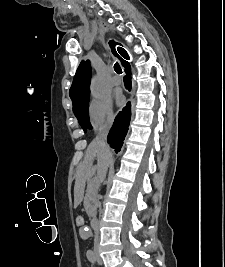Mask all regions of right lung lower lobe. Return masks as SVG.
I'll return each instance as SVG.
<instances>
[{
    "instance_id": "obj_1",
    "label": "right lung lower lobe",
    "mask_w": 225,
    "mask_h": 267,
    "mask_svg": "<svg viewBox=\"0 0 225 267\" xmlns=\"http://www.w3.org/2000/svg\"><path fill=\"white\" fill-rule=\"evenodd\" d=\"M125 68L127 75L124 78V82L126 88H129L131 85L130 65L126 66ZM129 121H130V105L127 104V106L123 109V111L120 112L119 115L116 117L114 125L108 135V143L112 148L115 149L116 152L120 151L123 139L128 130Z\"/></svg>"
}]
</instances>
